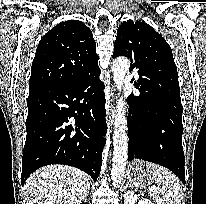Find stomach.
Masks as SVG:
<instances>
[{
    "instance_id": "0dacf381",
    "label": "stomach",
    "mask_w": 206,
    "mask_h": 204,
    "mask_svg": "<svg viewBox=\"0 0 206 204\" xmlns=\"http://www.w3.org/2000/svg\"><path fill=\"white\" fill-rule=\"evenodd\" d=\"M128 177L130 182L136 187H150L155 182L154 164L135 160L130 165Z\"/></svg>"
}]
</instances>
